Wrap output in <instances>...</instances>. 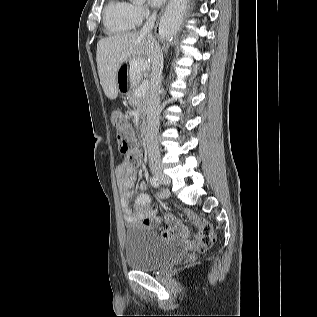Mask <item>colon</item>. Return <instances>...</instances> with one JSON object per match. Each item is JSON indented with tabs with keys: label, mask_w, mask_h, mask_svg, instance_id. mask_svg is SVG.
I'll list each match as a JSON object with an SVG mask.
<instances>
[{
	"label": "colon",
	"mask_w": 317,
	"mask_h": 317,
	"mask_svg": "<svg viewBox=\"0 0 317 317\" xmlns=\"http://www.w3.org/2000/svg\"><path fill=\"white\" fill-rule=\"evenodd\" d=\"M111 121L116 130L118 148L126 156L128 167L133 168L137 162V144L133 128L120 111L112 113ZM213 241L214 235L211 230L202 234L199 239L190 241L188 243L189 258L192 259L196 252L205 251Z\"/></svg>",
	"instance_id": "colon-1"
}]
</instances>
